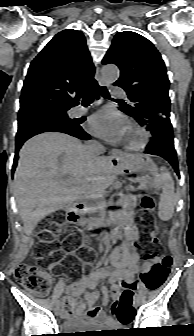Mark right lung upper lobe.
Returning <instances> with one entry per match:
<instances>
[{"label": "right lung upper lobe", "mask_w": 194, "mask_h": 336, "mask_svg": "<svg viewBox=\"0 0 194 336\" xmlns=\"http://www.w3.org/2000/svg\"><path fill=\"white\" fill-rule=\"evenodd\" d=\"M84 35L67 29L31 62L20 99L19 113L70 108L97 83Z\"/></svg>", "instance_id": "obj_1"}]
</instances>
